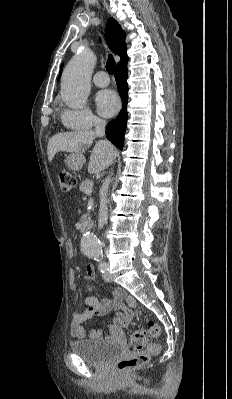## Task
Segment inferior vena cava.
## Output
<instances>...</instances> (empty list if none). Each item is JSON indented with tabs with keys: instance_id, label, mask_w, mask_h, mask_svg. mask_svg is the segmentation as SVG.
<instances>
[{
	"instance_id": "inferior-vena-cava-1",
	"label": "inferior vena cava",
	"mask_w": 232,
	"mask_h": 399,
	"mask_svg": "<svg viewBox=\"0 0 232 399\" xmlns=\"http://www.w3.org/2000/svg\"><path fill=\"white\" fill-rule=\"evenodd\" d=\"M94 126H95V136H99V138H103L105 136V126L106 122L105 120H94ZM110 184L109 178H106L103 186H102V196H101V201H100V207H99V221H98V227H103L104 223H107V217H108V207H107V192H108V186Z\"/></svg>"
}]
</instances>
